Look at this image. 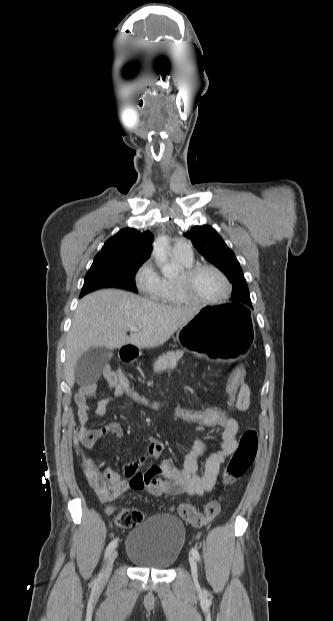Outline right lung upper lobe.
<instances>
[{
  "instance_id": "obj_1",
  "label": "right lung upper lobe",
  "mask_w": 333,
  "mask_h": 621,
  "mask_svg": "<svg viewBox=\"0 0 333 621\" xmlns=\"http://www.w3.org/2000/svg\"><path fill=\"white\" fill-rule=\"evenodd\" d=\"M153 235L126 228L107 240L94 262L137 261L145 262L151 255Z\"/></svg>"
}]
</instances>
